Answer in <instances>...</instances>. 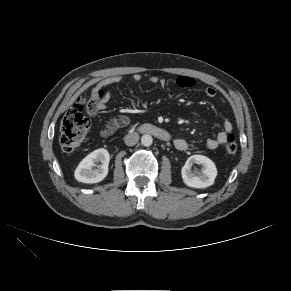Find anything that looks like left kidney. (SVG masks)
Returning <instances> with one entry per match:
<instances>
[{
    "label": "left kidney",
    "instance_id": "obj_1",
    "mask_svg": "<svg viewBox=\"0 0 291 291\" xmlns=\"http://www.w3.org/2000/svg\"><path fill=\"white\" fill-rule=\"evenodd\" d=\"M196 163L202 166L201 172L192 171V165ZM183 182L192 188H206L214 183L217 176V168L214 162L204 155L190 156L181 170Z\"/></svg>",
    "mask_w": 291,
    "mask_h": 291
}]
</instances>
